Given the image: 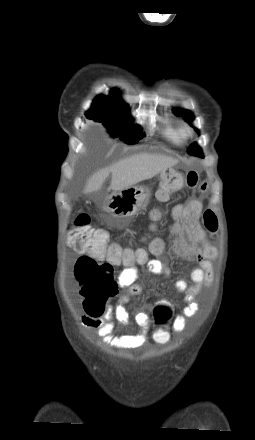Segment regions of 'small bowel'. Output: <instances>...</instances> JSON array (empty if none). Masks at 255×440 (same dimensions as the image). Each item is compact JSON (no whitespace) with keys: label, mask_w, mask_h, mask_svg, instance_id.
<instances>
[{"label":"small bowel","mask_w":255,"mask_h":440,"mask_svg":"<svg viewBox=\"0 0 255 440\" xmlns=\"http://www.w3.org/2000/svg\"><path fill=\"white\" fill-rule=\"evenodd\" d=\"M202 214L203 203L197 200L177 204L171 210L173 222L168 226V233L171 236L170 248L178 256L195 260L199 264V267L193 269L191 273L193 285H189L183 279L175 282L176 289L185 293V306L181 314L176 316L173 321L174 332L184 330L186 318L197 313L199 304L195 298L200 288L210 286L213 279L211 260L215 258L216 250L204 240V231L200 225ZM155 243L159 245V248L154 251L161 252L163 244L159 241ZM140 252L141 257L134 263L126 264L118 276V286L121 289H126L127 292L118 298L115 307L108 306L102 317L92 318L88 315L82 317L83 325L96 330L99 338L113 348L131 350L142 347L149 341L150 319L147 312H139L134 317L136 324L141 328L137 334L115 335V324L112 321L115 318L122 325L128 324L130 315L125 304L131 296L141 292V287L137 284L140 277V267H144L148 273L153 275L169 274V268L160 259H151L143 250Z\"/></svg>","instance_id":"c3829d8e"}]
</instances>
